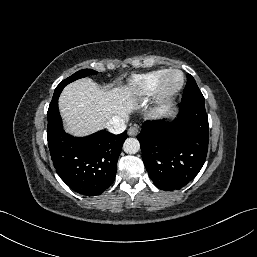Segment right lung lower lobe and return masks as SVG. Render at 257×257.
Returning a JSON list of instances; mask_svg holds the SVG:
<instances>
[{
    "mask_svg": "<svg viewBox=\"0 0 257 257\" xmlns=\"http://www.w3.org/2000/svg\"><path fill=\"white\" fill-rule=\"evenodd\" d=\"M58 98H52L47 113V140L56 172L77 193L99 195L115 179L127 131L114 135L101 130L87 137H73L62 128Z\"/></svg>",
    "mask_w": 257,
    "mask_h": 257,
    "instance_id": "right-lung-lower-lobe-1",
    "label": "right lung lower lobe"
}]
</instances>
